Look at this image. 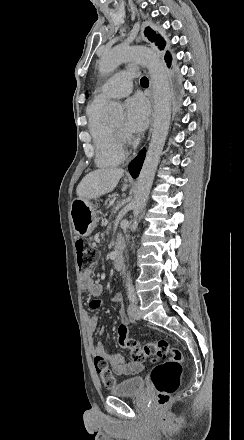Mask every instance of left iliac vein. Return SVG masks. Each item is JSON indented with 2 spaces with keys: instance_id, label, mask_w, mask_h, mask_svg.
I'll return each instance as SVG.
<instances>
[{
  "instance_id": "obj_1",
  "label": "left iliac vein",
  "mask_w": 244,
  "mask_h": 440,
  "mask_svg": "<svg viewBox=\"0 0 244 440\" xmlns=\"http://www.w3.org/2000/svg\"><path fill=\"white\" fill-rule=\"evenodd\" d=\"M129 315L136 320L141 319V313L139 307L135 303H131L128 308Z\"/></svg>"
}]
</instances>
